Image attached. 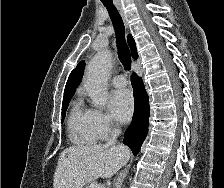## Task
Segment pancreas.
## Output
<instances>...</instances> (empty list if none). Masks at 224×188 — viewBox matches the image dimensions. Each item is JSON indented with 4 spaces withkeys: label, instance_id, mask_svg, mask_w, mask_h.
I'll return each instance as SVG.
<instances>
[{
    "label": "pancreas",
    "instance_id": "cf45deb5",
    "mask_svg": "<svg viewBox=\"0 0 224 188\" xmlns=\"http://www.w3.org/2000/svg\"><path fill=\"white\" fill-rule=\"evenodd\" d=\"M94 183H90L88 184L85 188H91V185H93Z\"/></svg>",
    "mask_w": 224,
    "mask_h": 188
}]
</instances>
